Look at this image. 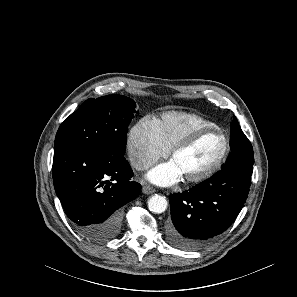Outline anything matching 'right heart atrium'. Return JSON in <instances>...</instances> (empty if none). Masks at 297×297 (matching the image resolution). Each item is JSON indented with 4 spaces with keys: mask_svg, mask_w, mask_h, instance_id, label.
Segmentation results:
<instances>
[{
    "mask_svg": "<svg viewBox=\"0 0 297 297\" xmlns=\"http://www.w3.org/2000/svg\"><path fill=\"white\" fill-rule=\"evenodd\" d=\"M126 153L131 166L141 171L165 157L168 150L158 140L153 121L144 118L129 130L126 137Z\"/></svg>",
    "mask_w": 297,
    "mask_h": 297,
    "instance_id": "1",
    "label": "right heart atrium"
}]
</instances>
